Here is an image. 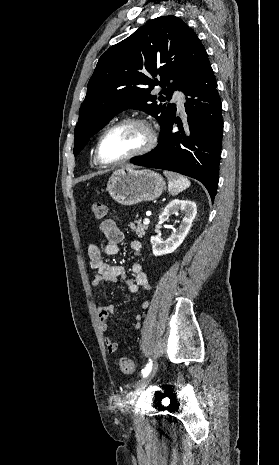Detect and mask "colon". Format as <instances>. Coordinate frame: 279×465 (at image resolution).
<instances>
[{"instance_id":"obj_1","label":"colon","mask_w":279,"mask_h":465,"mask_svg":"<svg viewBox=\"0 0 279 465\" xmlns=\"http://www.w3.org/2000/svg\"><path fill=\"white\" fill-rule=\"evenodd\" d=\"M91 209H92L93 216L96 219H103L109 213L108 207L105 204L100 203V202L93 203ZM119 367H120V370L125 374H132L135 371L134 362L130 358H127V357L120 358Z\"/></svg>"}]
</instances>
